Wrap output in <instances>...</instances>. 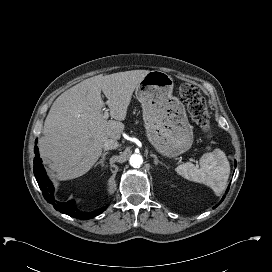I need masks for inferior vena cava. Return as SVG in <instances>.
I'll list each match as a JSON object with an SVG mask.
<instances>
[{"label":"inferior vena cava","instance_id":"obj_1","mask_svg":"<svg viewBox=\"0 0 272 272\" xmlns=\"http://www.w3.org/2000/svg\"><path fill=\"white\" fill-rule=\"evenodd\" d=\"M118 146H119V143L116 140L107 139L104 142L103 148L104 150H112V149H116Z\"/></svg>","mask_w":272,"mask_h":272}]
</instances>
